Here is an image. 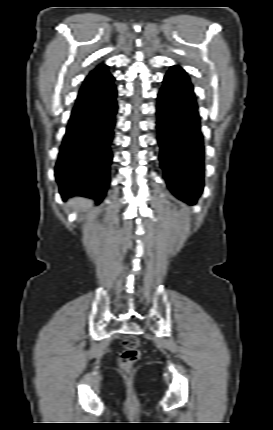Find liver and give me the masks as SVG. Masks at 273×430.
<instances>
[{
    "label": "liver",
    "mask_w": 273,
    "mask_h": 430,
    "mask_svg": "<svg viewBox=\"0 0 273 430\" xmlns=\"http://www.w3.org/2000/svg\"><path fill=\"white\" fill-rule=\"evenodd\" d=\"M69 204H71L73 206H80V207L85 208L90 204V202H88L85 199H73V200L69 201Z\"/></svg>",
    "instance_id": "liver-1"
}]
</instances>
